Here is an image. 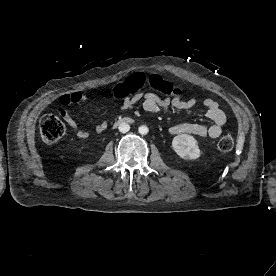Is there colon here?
Listing matches in <instances>:
<instances>
[{
  "label": "colon",
  "mask_w": 276,
  "mask_h": 276,
  "mask_svg": "<svg viewBox=\"0 0 276 276\" xmlns=\"http://www.w3.org/2000/svg\"><path fill=\"white\" fill-rule=\"evenodd\" d=\"M147 84L151 89L162 93L169 98L182 99V93L179 89L173 87L168 82L163 81L160 77L152 75L147 77L144 74H136L120 85L116 90L118 96L131 94ZM40 132L42 139L46 143H55L60 140L65 132L66 126L64 122L55 114H45L40 121ZM234 139L232 135L226 134L222 136L218 142V149L221 152H229L233 149Z\"/></svg>",
  "instance_id": "1"
}]
</instances>
